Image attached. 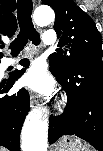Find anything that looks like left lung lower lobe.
Returning a JSON list of instances; mask_svg holds the SVG:
<instances>
[{"mask_svg": "<svg viewBox=\"0 0 103 151\" xmlns=\"http://www.w3.org/2000/svg\"><path fill=\"white\" fill-rule=\"evenodd\" d=\"M50 70L68 100L62 115L50 117L49 143L76 135L103 151V56L86 57L66 74Z\"/></svg>", "mask_w": 103, "mask_h": 151, "instance_id": "left-lung-lower-lobe-1", "label": "left lung lower lobe"}]
</instances>
